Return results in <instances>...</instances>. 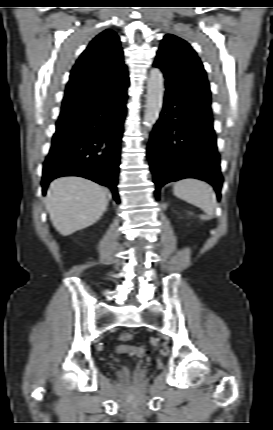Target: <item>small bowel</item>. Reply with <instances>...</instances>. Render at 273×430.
<instances>
[{
	"mask_svg": "<svg viewBox=\"0 0 273 430\" xmlns=\"http://www.w3.org/2000/svg\"><path fill=\"white\" fill-rule=\"evenodd\" d=\"M121 347H122L123 349H128L130 346L122 345Z\"/></svg>",
	"mask_w": 273,
	"mask_h": 430,
	"instance_id": "c3829d8e",
	"label": "small bowel"
}]
</instances>
